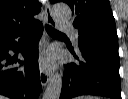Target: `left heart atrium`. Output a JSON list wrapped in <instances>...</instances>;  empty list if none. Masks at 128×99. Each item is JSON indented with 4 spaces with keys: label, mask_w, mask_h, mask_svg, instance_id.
Here are the masks:
<instances>
[{
    "label": "left heart atrium",
    "mask_w": 128,
    "mask_h": 99,
    "mask_svg": "<svg viewBox=\"0 0 128 99\" xmlns=\"http://www.w3.org/2000/svg\"><path fill=\"white\" fill-rule=\"evenodd\" d=\"M40 65L44 69H52L55 65V55L53 51H45L40 57Z\"/></svg>",
    "instance_id": "39dd6f15"
}]
</instances>
